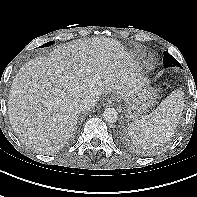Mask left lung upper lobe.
<instances>
[{"label":"left lung upper lobe","instance_id":"left-lung-upper-lobe-1","mask_svg":"<svg viewBox=\"0 0 197 197\" xmlns=\"http://www.w3.org/2000/svg\"><path fill=\"white\" fill-rule=\"evenodd\" d=\"M163 63L165 67H171V66L181 67L180 63L166 51L164 52Z\"/></svg>","mask_w":197,"mask_h":197}]
</instances>
